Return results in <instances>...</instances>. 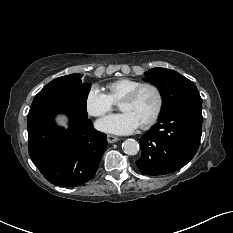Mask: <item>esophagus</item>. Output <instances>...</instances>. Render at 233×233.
Returning a JSON list of instances; mask_svg holds the SVG:
<instances>
[{
  "instance_id": "obj_1",
  "label": "esophagus",
  "mask_w": 233,
  "mask_h": 233,
  "mask_svg": "<svg viewBox=\"0 0 233 233\" xmlns=\"http://www.w3.org/2000/svg\"><path fill=\"white\" fill-rule=\"evenodd\" d=\"M119 140H120V138L117 137V136L110 135V134L107 135V141H108V143H115V142H117Z\"/></svg>"
}]
</instances>
